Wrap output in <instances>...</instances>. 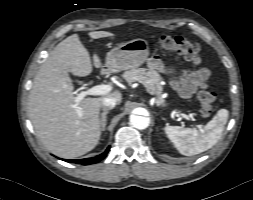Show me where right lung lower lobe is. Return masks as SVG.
Segmentation results:
<instances>
[{
    "instance_id": "right-lung-lower-lobe-1",
    "label": "right lung lower lobe",
    "mask_w": 253,
    "mask_h": 200,
    "mask_svg": "<svg viewBox=\"0 0 253 200\" xmlns=\"http://www.w3.org/2000/svg\"><path fill=\"white\" fill-rule=\"evenodd\" d=\"M109 149L110 147H108L104 153L93 158H86V159H79V160H66V161L71 162V163L83 164V165L97 163L106 157Z\"/></svg>"
}]
</instances>
